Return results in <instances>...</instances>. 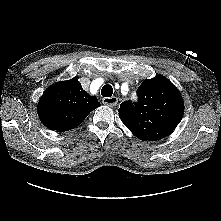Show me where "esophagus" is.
Returning a JSON list of instances; mask_svg holds the SVG:
<instances>
[{
    "label": "esophagus",
    "mask_w": 221,
    "mask_h": 221,
    "mask_svg": "<svg viewBox=\"0 0 221 221\" xmlns=\"http://www.w3.org/2000/svg\"><path fill=\"white\" fill-rule=\"evenodd\" d=\"M118 102V98L113 96V97H105L102 99V103L107 105V106H110V107H113L117 104Z\"/></svg>",
    "instance_id": "1"
}]
</instances>
